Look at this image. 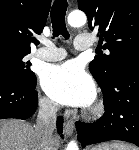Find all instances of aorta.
Listing matches in <instances>:
<instances>
[{"instance_id":"1","label":"aorta","mask_w":139,"mask_h":150,"mask_svg":"<svg viewBox=\"0 0 139 150\" xmlns=\"http://www.w3.org/2000/svg\"><path fill=\"white\" fill-rule=\"evenodd\" d=\"M67 21L71 27L75 28L84 25L87 22V17L82 11H73L68 15ZM66 150H79V148L75 141H70Z\"/></svg>"}]
</instances>
